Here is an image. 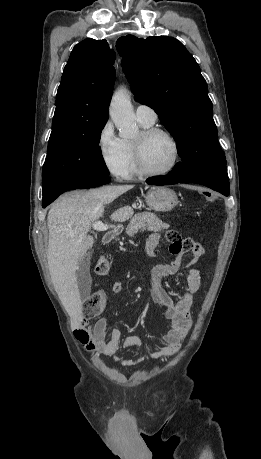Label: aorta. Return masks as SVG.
Returning a JSON list of instances; mask_svg holds the SVG:
<instances>
[{
  "mask_svg": "<svg viewBox=\"0 0 261 459\" xmlns=\"http://www.w3.org/2000/svg\"><path fill=\"white\" fill-rule=\"evenodd\" d=\"M109 114L123 138H135L139 127L131 104V97L125 88L117 90L111 100Z\"/></svg>",
  "mask_w": 261,
  "mask_h": 459,
  "instance_id": "1",
  "label": "aorta"
}]
</instances>
